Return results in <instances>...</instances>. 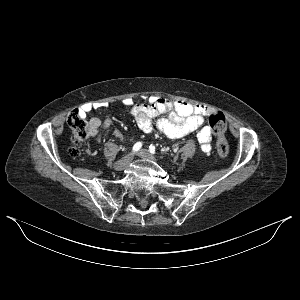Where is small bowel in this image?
I'll use <instances>...</instances> for the list:
<instances>
[{"label": "small bowel", "mask_w": 300, "mask_h": 300, "mask_svg": "<svg viewBox=\"0 0 300 300\" xmlns=\"http://www.w3.org/2000/svg\"><path fill=\"white\" fill-rule=\"evenodd\" d=\"M122 102L129 107L130 114L142 132L149 134L157 129L170 138H180L196 131L202 151H211L212 131L204 125V118L211 112V107L157 96H149L142 103H135L130 98ZM106 106L104 103H86L82 105L80 112L85 116L90 111ZM111 125L110 118L101 120L94 115L88 121V135L96 138L100 129H108Z\"/></svg>", "instance_id": "1"}]
</instances>
